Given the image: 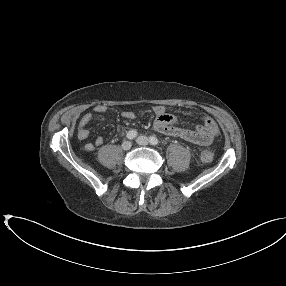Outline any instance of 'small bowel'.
<instances>
[{"label":"small bowel","instance_id":"1","mask_svg":"<svg viewBox=\"0 0 286 286\" xmlns=\"http://www.w3.org/2000/svg\"><path fill=\"white\" fill-rule=\"evenodd\" d=\"M106 106L97 105L94 107V112L103 114L106 111ZM155 115L153 123L154 129L166 136L178 137L190 143L208 146L218 134V126L216 122L208 115H204L202 123L193 129L180 126L179 118L166 111L162 105H155L152 108ZM124 119L131 120L135 117L132 111L125 110L121 113ZM93 115L90 112L84 113L78 121L77 138L85 140L89 137V123L92 121ZM104 143L103 137H97L93 142H87L84 145V150L87 152L93 151L95 148L102 146Z\"/></svg>","mask_w":286,"mask_h":286}]
</instances>
